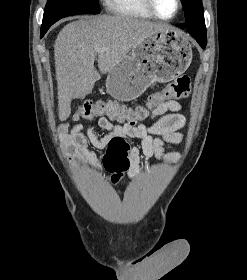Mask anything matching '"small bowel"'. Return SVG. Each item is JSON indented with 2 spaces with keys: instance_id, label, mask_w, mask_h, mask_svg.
I'll return each instance as SVG.
<instances>
[{
  "instance_id": "1",
  "label": "small bowel",
  "mask_w": 247,
  "mask_h": 280,
  "mask_svg": "<svg viewBox=\"0 0 247 280\" xmlns=\"http://www.w3.org/2000/svg\"><path fill=\"white\" fill-rule=\"evenodd\" d=\"M181 104L168 101L153 110L150 125L114 124L111 119L101 117L98 126L105 131L99 136L93 126L86 128L81 124L74 125L69 130V124L60 127L61 137L74 166L83 164L93 169L100 168L97 155L88 149L91 144L96 149H106L112 140L123 139L129 146L130 175L134 177L140 170L141 164L147 168L152 157L173 163L179 159L178 152H166L165 143L179 144L182 134L179 130L184 126L185 118L180 113ZM134 139L141 140L140 149L133 144Z\"/></svg>"
}]
</instances>
